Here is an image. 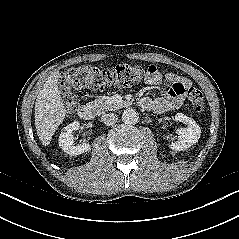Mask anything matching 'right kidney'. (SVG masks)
Returning a JSON list of instances; mask_svg holds the SVG:
<instances>
[{"instance_id":"ca27d5eb","label":"right kidney","mask_w":239,"mask_h":239,"mask_svg":"<svg viewBox=\"0 0 239 239\" xmlns=\"http://www.w3.org/2000/svg\"><path fill=\"white\" fill-rule=\"evenodd\" d=\"M80 127V123L78 121H74L64 127L63 131L59 136V146L60 148L69 155H80L88 150H90L91 146L88 143H83L80 145H74V136L73 131L78 130Z\"/></svg>"}]
</instances>
